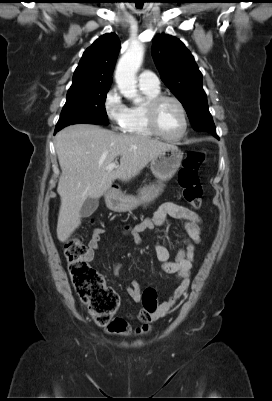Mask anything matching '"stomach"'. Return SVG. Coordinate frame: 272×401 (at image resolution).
<instances>
[{
    "label": "stomach",
    "instance_id": "stomach-1",
    "mask_svg": "<svg viewBox=\"0 0 272 401\" xmlns=\"http://www.w3.org/2000/svg\"><path fill=\"white\" fill-rule=\"evenodd\" d=\"M183 152L177 146H172L159 153L151 160L150 169L157 183L145 185L137 196L120 192L108 193L105 197L109 209L117 212H127L140 205H146L155 200L163 191L164 182L170 180L179 169Z\"/></svg>",
    "mask_w": 272,
    "mask_h": 401
}]
</instances>
